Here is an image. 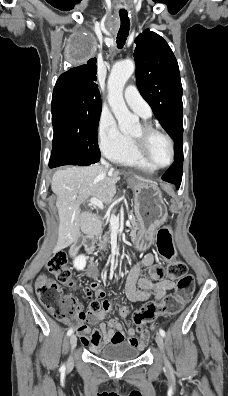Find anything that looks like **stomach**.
<instances>
[{
    "mask_svg": "<svg viewBox=\"0 0 228 396\" xmlns=\"http://www.w3.org/2000/svg\"><path fill=\"white\" fill-rule=\"evenodd\" d=\"M128 182L134 192V209L139 223L133 242L139 251H145L152 244L157 228L165 222L167 209L157 184L134 179Z\"/></svg>",
    "mask_w": 228,
    "mask_h": 396,
    "instance_id": "obj_1",
    "label": "stomach"
}]
</instances>
